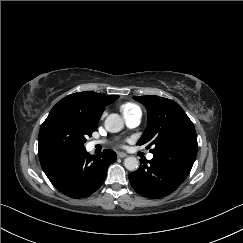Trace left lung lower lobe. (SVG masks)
<instances>
[{
	"mask_svg": "<svg viewBox=\"0 0 243 243\" xmlns=\"http://www.w3.org/2000/svg\"><path fill=\"white\" fill-rule=\"evenodd\" d=\"M198 144H175L160 152L148 164L140 163L138 170L129 174L133 189L147 198H162L174 192L189 175L197 154Z\"/></svg>",
	"mask_w": 243,
	"mask_h": 243,
	"instance_id": "1",
	"label": "left lung lower lobe"
}]
</instances>
